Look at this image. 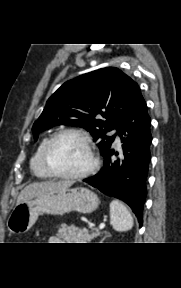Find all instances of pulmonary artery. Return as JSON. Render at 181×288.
Instances as JSON below:
<instances>
[{
  "mask_svg": "<svg viewBox=\"0 0 181 288\" xmlns=\"http://www.w3.org/2000/svg\"><path fill=\"white\" fill-rule=\"evenodd\" d=\"M116 140H117V142H119V141H120V138L117 136V137H116Z\"/></svg>",
  "mask_w": 181,
  "mask_h": 288,
  "instance_id": "obj_1",
  "label": "pulmonary artery"
}]
</instances>
